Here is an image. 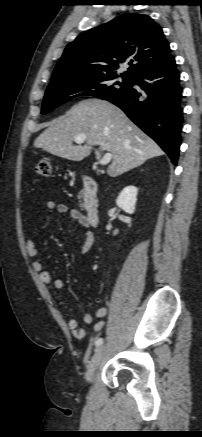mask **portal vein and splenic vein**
<instances>
[{"label":"portal vein and splenic vein","instance_id":"obj_1","mask_svg":"<svg viewBox=\"0 0 202 437\" xmlns=\"http://www.w3.org/2000/svg\"><path fill=\"white\" fill-rule=\"evenodd\" d=\"M85 140H86V136L84 134L77 135L74 139L75 143H77V144H82L83 142H85ZM95 154H96V158L99 160V163L101 165H106L112 160L111 153L104 154V156L102 158H101L99 151L96 150Z\"/></svg>","mask_w":202,"mask_h":437}]
</instances>
